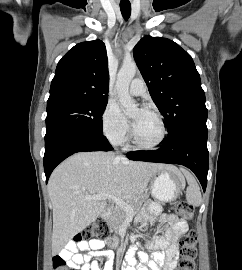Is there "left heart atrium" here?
Returning a JSON list of instances; mask_svg holds the SVG:
<instances>
[{"instance_id": "1", "label": "left heart atrium", "mask_w": 242, "mask_h": 270, "mask_svg": "<svg viewBox=\"0 0 242 270\" xmlns=\"http://www.w3.org/2000/svg\"><path fill=\"white\" fill-rule=\"evenodd\" d=\"M140 112H141V113H142V112H145V110H141Z\"/></svg>"}]
</instances>
